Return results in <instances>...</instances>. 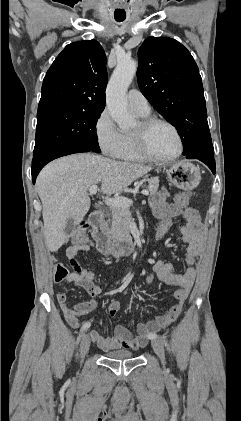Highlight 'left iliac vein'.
I'll use <instances>...</instances> for the list:
<instances>
[{
  "instance_id": "left-iliac-vein-1",
  "label": "left iliac vein",
  "mask_w": 241,
  "mask_h": 421,
  "mask_svg": "<svg viewBox=\"0 0 241 421\" xmlns=\"http://www.w3.org/2000/svg\"><path fill=\"white\" fill-rule=\"evenodd\" d=\"M151 344H152L154 352L159 357L162 366L165 368V364H166L165 351H164L162 342L158 339H154Z\"/></svg>"
}]
</instances>
